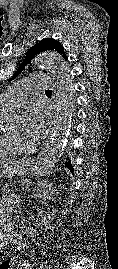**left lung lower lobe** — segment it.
I'll return each instance as SVG.
<instances>
[{"label": "left lung lower lobe", "mask_w": 118, "mask_h": 269, "mask_svg": "<svg viewBox=\"0 0 118 269\" xmlns=\"http://www.w3.org/2000/svg\"><path fill=\"white\" fill-rule=\"evenodd\" d=\"M66 167L69 168V170L71 172H73V167H72V164L70 163V160L68 162L65 163Z\"/></svg>", "instance_id": "0a47b994"}]
</instances>
